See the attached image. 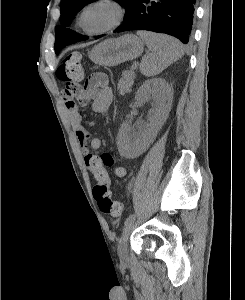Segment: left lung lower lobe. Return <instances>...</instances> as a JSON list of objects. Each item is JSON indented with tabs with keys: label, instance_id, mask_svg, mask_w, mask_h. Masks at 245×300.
<instances>
[{
	"label": "left lung lower lobe",
	"instance_id": "1",
	"mask_svg": "<svg viewBox=\"0 0 245 300\" xmlns=\"http://www.w3.org/2000/svg\"><path fill=\"white\" fill-rule=\"evenodd\" d=\"M195 1L134 0L131 15L114 32L149 30L172 35L187 44L191 40Z\"/></svg>",
	"mask_w": 245,
	"mask_h": 300
}]
</instances>
